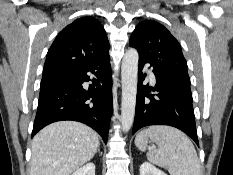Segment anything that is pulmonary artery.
Here are the masks:
<instances>
[{
	"label": "pulmonary artery",
	"instance_id": "1",
	"mask_svg": "<svg viewBox=\"0 0 233 175\" xmlns=\"http://www.w3.org/2000/svg\"><path fill=\"white\" fill-rule=\"evenodd\" d=\"M150 76H151V79H152V80H154V79H155V77H154V74H153V73H151V74H150Z\"/></svg>",
	"mask_w": 233,
	"mask_h": 175
}]
</instances>
